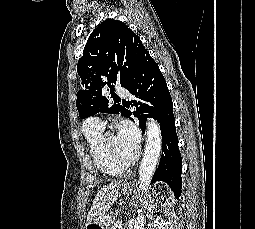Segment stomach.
Returning <instances> with one entry per match:
<instances>
[{"label":"stomach","mask_w":255,"mask_h":229,"mask_svg":"<svg viewBox=\"0 0 255 229\" xmlns=\"http://www.w3.org/2000/svg\"><path fill=\"white\" fill-rule=\"evenodd\" d=\"M122 193L131 194L132 188L130 186L124 185L122 187ZM113 220V213H106L102 215L98 220H93L90 223L86 224L85 229H110Z\"/></svg>","instance_id":"obj_1"}]
</instances>
